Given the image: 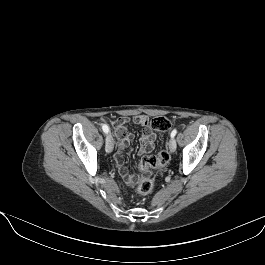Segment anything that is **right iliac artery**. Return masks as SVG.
Segmentation results:
<instances>
[{"label":"right iliac artery","instance_id":"right-iliac-artery-1","mask_svg":"<svg viewBox=\"0 0 265 265\" xmlns=\"http://www.w3.org/2000/svg\"><path fill=\"white\" fill-rule=\"evenodd\" d=\"M102 130L104 131V133H108L109 132V127L106 124L102 125Z\"/></svg>","mask_w":265,"mask_h":265}]
</instances>
